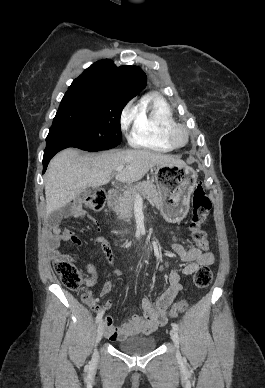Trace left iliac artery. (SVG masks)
Instances as JSON below:
<instances>
[{
    "instance_id": "44dca946",
    "label": "left iliac artery",
    "mask_w": 265,
    "mask_h": 388,
    "mask_svg": "<svg viewBox=\"0 0 265 388\" xmlns=\"http://www.w3.org/2000/svg\"><path fill=\"white\" fill-rule=\"evenodd\" d=\"M172 328L175 329L176 331L179 330V326L176 323H172Z\"/></svg>"
}]
</instances>
